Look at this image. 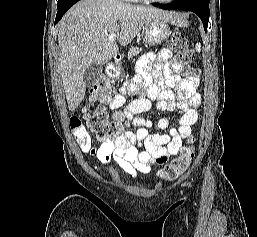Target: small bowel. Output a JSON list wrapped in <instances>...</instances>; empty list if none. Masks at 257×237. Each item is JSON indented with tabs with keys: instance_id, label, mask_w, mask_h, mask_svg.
I'll return each mask as SVG.
<instances>
[{
	"instance_id": "obj_1",
	"label": "small bowel",
	"mask_w": 257,
	"mask_h": 237,
	"mask_svg": "<svg viewBox=\"0 0 257 237\" xmlns=\"http://www.w3.org/2000/svg\"><path fill=\"white\" fill-rule=\"evenodd\" d=\"M182 69L179 62L171 60V52L166 48L144 55L137 63L136 75L120 86L109 104L115 121H130L138 129L127 130L122 137L100 146L89 144L81 149L107 167L118 164L133 177L148 173L154 163H166L190 136L198 120L196 109L201 104L197 91L199 79L196 76L181 79ZM129 95L137 97L121 109ZM151 100H155L158 111H177L180 115L177 125L169 127L167 120L161 119L158 128L166 132L151 134V122L136 116L152 108Z\"/></svg>"
}]
</instances>
